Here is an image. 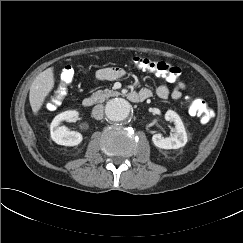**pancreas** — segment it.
Here are the masks:
<instances>
[{
  "instance_id": "cf45deb5",
  "label": "pancreas",
  "mask_w": 243,
  "mask_h": 243,
  "mask_svg": "<svg viewBox=\"0 0 243 243\" xmlns=\"http://www.w3.org/2000/svg\"><path fill=\"white\" fill-rule=\"evenodd\" d=\"M118 95H120V93L118 91L109 90V89L98 90L97 92H95L91 95V99L97 103H102L107 98L113 97V96H118Z\"/></svg>"
}]
</instances>
